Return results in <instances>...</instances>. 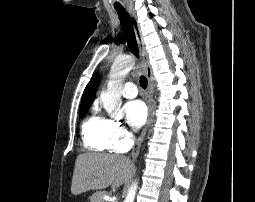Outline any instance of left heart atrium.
I'll use <instances>...</instances> for the list:
<instances>
[{
    "label": "left heart atrium",
    "mask_w": 255,
    "mask_h": 202,
    "mask_svg": "<svg viewBox=\"0 0 255 202\" xmlns=\"http://www.w3.org/2000/svg\"><path fill=\"white\" fill-rule=\"evenodd\" d=\"M127 122L134 128H140L147 117V109L145 104L140 100L129 101L124 106Z\"/></svg>",
    "instance_id": "obj_1"
}]
</instances>
